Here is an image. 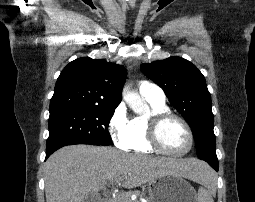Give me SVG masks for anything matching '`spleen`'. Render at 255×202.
Segmentation results:
<instances>
[{"mask_svg":"<svg viewBox=\"0 0 255 202\" xmlns=\"http://www.w3.org/2000/svg\"><path fill=\"white\" fill-rule=\"evenodd\" d=\"M202 187L198 190V202H214L217 182L215 173L208 166H198V181Z\"/></svg>","mask_w":255,"mask_h":202,"instance_id":"obj_1","label":"spleen"}]
</instances>
